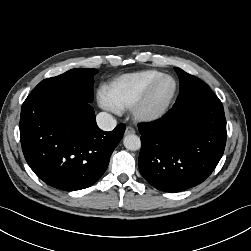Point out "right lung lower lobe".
<instances>
[{"instance_id":"1","label":"right lung lower lobe","mask_w":251,"mask_h":251,"mask_svg":"<svg viewBox=\"0 0 251 251\" xmlns=\"http://www.w3.org/2000/svg\"><path fill=\"white\" fill-rule=\"evenodd\" d=\"M125 125L105 132L89 102L30 94L20 117L24 157L46 184L66 191L93 185L107 169Z\"/></svg>"}]
</instances>
